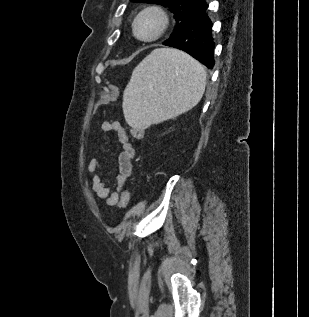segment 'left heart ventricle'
Masks as SVG:
<instances>
[{
	"label": "left heart ventricle",
	"mask_w": 309,
	"mask_h": 317,
	"mask_svg": "<svg viewBox=\"0 0 309 317\" xmlns=\"http://www.w3.org/2000/svg\"><path fill=\"white\" fill-rule=\"evenodd\" d=\"M156 20L152 17H146L140 22L139 30L141 35L149 36L156 28Z\"/></svg>",
	"instance_id": "obj_1"
}]
</instances>
